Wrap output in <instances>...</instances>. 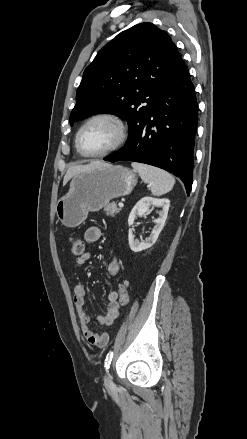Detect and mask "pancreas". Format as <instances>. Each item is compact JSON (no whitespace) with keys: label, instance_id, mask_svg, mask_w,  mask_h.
I'll use <instances>...</instances> for the list:
<instances>
[{"label":"pancreas","instance_id":"cf45deb5","mask_svg":"<svg viewBox=\"0 0 247 439\" xmlns=\"http://www.w3.org/2000/svg\"><path fill=\"white\" fill-rule=\"evenodd\" d=\"M120 208L117 207L115 202H111L110 204L104 207V212L107 216L115 217L117 213L120 212Z\"/></svg>","mask_w":247,"mask_h":439}]
</instances>
